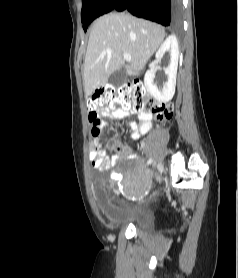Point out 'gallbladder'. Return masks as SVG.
<instances>
[{
  "instance_id": "obj_1",
  "label": "gallbladder",
  "mask_w": 238,
  "mask_h": 278,
  "mask_svg": "<svg viewBox=\"0 0 238 278\" xmlns=\"http://www.w3.org/2000/svg\"><path fill=\"white\" fill-rule=\"evenodd\" d=\"M126 81V69L123 66L121 69L112 73L108 79V82L113 86H121Z\"/></svg>"
}]
</instances>
